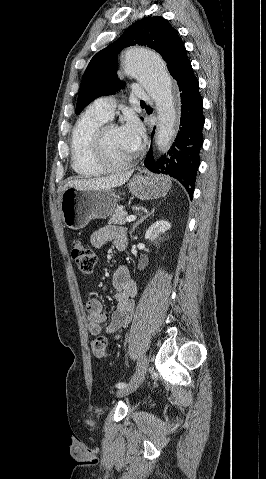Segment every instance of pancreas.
I'll list each match as a JSON object with an SVG mask.
<instances>
[{
    "instance_id": "obj_1",
    "label": "pancreas",
    "mask_w": 266,
    "mask_h": 479,
    "mask_svg": "<svg viewBox=\"0 0 266 479\" xmlns=\"http://www.w3.org/2000/svg\"><path fill=\"white\" fill-rule=\"evenodd\" d=\"M127 212L121 209H116L109 219L108 224L123 225L126 223Z\"/></svg>"
}]
</instances>
